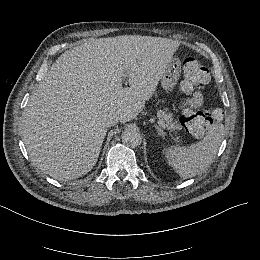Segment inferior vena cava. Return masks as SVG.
Returning <instances> with one entry per match:
<instances>
[{"label":"inferior vena cava","instance_id":"602c4592","mask_svg":"<svg viewBox=\"0 0 260 260\" xmlns=\"http://www.w3.org/2000/svg\"><path fill=\"white\" fill-rule=\"evenodd\" d=\"M118 122V116L114 113H110L106 118L107 126H114Z\"/></svg>","mask_w":260,"mask_h":260}]
</instances>
